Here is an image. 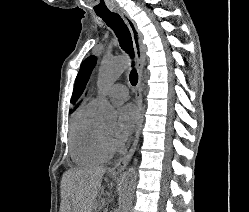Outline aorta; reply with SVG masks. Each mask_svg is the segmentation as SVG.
<instances>
[{"label": "aorta", "instance_id": "obj_1", "mask_svg": "<svg viewBox=\"0 0 249 212\" xmlns=\"http://www.w3.org/2000/svg\"><path fill=\"white\" fill-rule=\"evenodd\" d=\"M128 59L124 56L107 59L101 62L97 85L100 92L112 85L125 71ZM99 115L104 120H112L117 116L116 110L108 101H104L99 109ZM136 185V169L130 167L124 174L116 212H130L132 208L133 193Z\"/></svg>", "mask_w": 249, "mask_h": 212}]
</instances>
